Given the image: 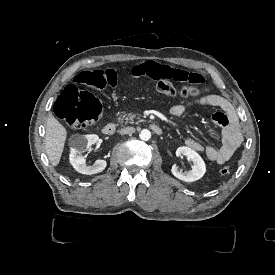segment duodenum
<instances>
[{"mask_svg":"<svg viewBox=\"0 0 275 275\" xmlns=\"http://www.w3.org/2000/svg\"><path fill=\"white\" fill-rule=\"evenodd\" d=\"M150 129L156 135H161L163 133V129L157 124H151ZM115 131L116 126L113 123L106 124L102 129L103 134L106 136H112Z\"/></svg>","mask_w":275,"mask_h":275,"instance_id":"1","label":"duodenum"}]
</instances>
